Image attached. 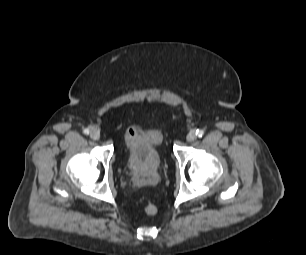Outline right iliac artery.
<instances>
[{
    "label": "right iliac artery",
    "instance_id": "1",
    "mask_svg": "<svg viewBox=\"0 0 306 255\" xmlns=\"http://www.w3.org/2000/svg\"><path fill=\"white\" fill-rule=\"evenodd\" d=\"M89 132H90L89 129H84V131H83V133L86 134V135L89 134Z\"/></svg>",
    "mask_w": 306,
    "mask_h": 255
}]
</instances>
